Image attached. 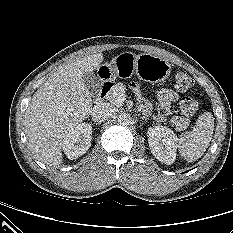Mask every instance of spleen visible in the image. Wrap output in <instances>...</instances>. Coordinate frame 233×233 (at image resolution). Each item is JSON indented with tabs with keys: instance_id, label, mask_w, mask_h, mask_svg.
<instances>
[{
	"instance_id": "3e777b00",
	"label": "spleen",
	"mask_w": 233,
	"mask_h": 233,
	"mask_svg": "<svg viewBox=\"0 0 233 233\" xmlns=\"http://www.w3.org/2000/svg\"><path fill=\"white\" fill-rule=\"evenodd\" d=\"M214 131V118L212 113L205 112L200 115L192 131L180 136L177 147L180 155L187 161L199 159L209 146Z\"/></svg>"
}]
</instances>
